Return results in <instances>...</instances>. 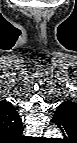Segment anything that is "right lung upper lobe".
Masks as SVG:
<instances>
[{
    "mask_svg": "<svg viewBox=\"0 0 77 143\" xmlns=\"http://www.w3.org/2000/svg\"><path fill=\"white\" fill-rule=\"evenodd\" d=\"M23 131L22 121L11 103L0 102V132L8 136H19Z\"/></svg>",
    "mask_w": 77,
    "mask_h": 143,
    "instance_id": "obj_1",
    "label": "right lung upper lobe"
}]
</instances>
